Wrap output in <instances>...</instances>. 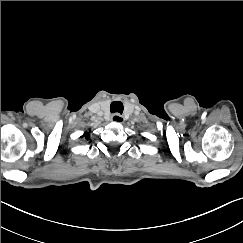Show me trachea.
I'll return each instance as SVG.
<instances>
[{"label":"trachea","instance_id":"1","mask_svg":"<svg viewBox=\"0 0 243 243\" xmlns=\"http://www.w3.org/2000/svg\"><path fill=\"white\" fill-rule=\"evenodd\" d=\"M123 109H124L123 108V104L120 101H114L110 105L111 113H116L117 112V113L122 114L123 113Z\"/></svg>","mask_w":243,"mask_h":243}]
</instances>
